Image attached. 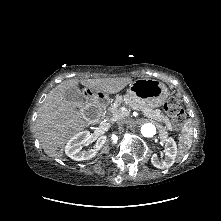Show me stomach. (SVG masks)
<instances>
[{
  "instance_id": "0dacf381",
  "label": "stomach",
  "mask_w": 221,
  "mask_h": 221,
  "mask_svg": "<svg viewBox=\"0 0 221 221\" xmlns=\"http://www.w3.org/2000/svg\"><path fill=\"white\" fill-rule=\"evenodd\" d=\"M127 95L130 100L139 105L155 108L165 103L168 89L158 80L141 78L130 83Z\"/></svg>"
}]
</instances>
